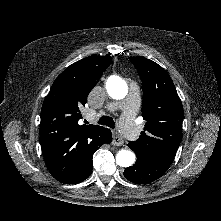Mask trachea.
<instances>
[{
  "instance_id": "trachea-1",
  "label": "trachea",
  "mask_w": 221,
  "mask_h": 221,
  "mask_svg": "<svg viewBox=\"0 0 221 221\" xmlns=\"http://www.w3.org/2000/svg\"><path fill=\"white\" fill-rule=\"evenodd\" d=\"M98 124L106 125V126H108L110 128H114L115 127V122H114L113 118L110 117V116H102L98 120Z\"/></svg>"
}]
</instances>
